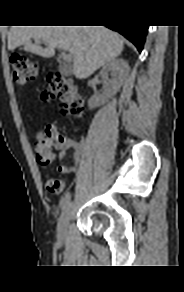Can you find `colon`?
<instances>
[{
	"mask_svg": "<svg viewBox=\"0 0 184 292\" xmlns=\"http://www.w3.org/2000/svg\"><path fill=\"white\" fill-rule=\"evenodd\" d=\"M11 65L14 80L18 84H26L36 78L35 65L21 55L11 57ZM42 100H60V112L64 115L81 116L84 112V100L79 87L69 78L61 74L52 73L47 77V87L42 92ZM52 127L45 126L36 132L35 136V157L38 164L48 166L54 158L51 144ZM47 191L53 194L60 193L64 183L58 178L50 177L46 180Z\"/></svg>",
	"mask_w": 184,
	"mask_h": 292,
	"instance_id": "1",
	"label": "colon"
}]
</instances>
